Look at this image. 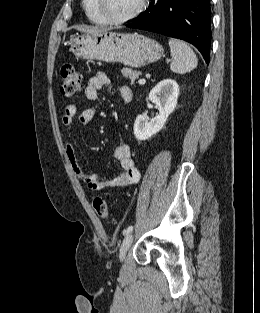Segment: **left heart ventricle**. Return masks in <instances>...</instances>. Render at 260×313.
<instances>
[{"mask_svg":"<svg viewBox=\"0 0 260 313\" xmlns=\"http://www.w3.org/2000/svg\"><path fill=\"white\" fill-rule=\"evenodd\" d=\"M139 0H104L106 13L113 18H121L131 13Z\"/></svg>","mask_w":260,"mask_h":313,"instance_id":"b2bd125f","label":"left heart ventricle"}]
</instances>
